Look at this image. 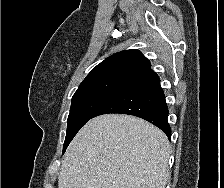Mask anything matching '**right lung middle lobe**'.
<instances>
[{
	"instance_id": "dd1d6c3e",
	"label": "right lung middle lobe",
	"mask_w": 224,
	"mask_h": 188,
	"mask_svg": "<svg viewBox=\"0 0 224 188\" xmlns=\"http://www.w3.org/2000/svg\"><path fill=\"white\" fill-rule=\"evenodd\" d=\"M130 81L124 78H106L80 84L72 98L63 153L93 114Z\"/></svg>"
}]
</instances>
